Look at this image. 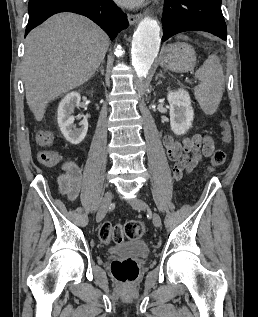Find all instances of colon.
Returning <instances> with one entry per match:
<instances>
[{
  "label": "colon",
  "instance_id": "colon-1",
  "mask_svg": "<svg viewBox=\"0 0 258 317\" xmlns=\"http://www.w3.org/2000/svg\"><path fill=\"white\" fill-rule=\"evenodd\" d=\"M221 140L228 144L232 133L228 121L220 123ZM40 163L46 166H54L61 160V155L56 150L43 149L37 154ZM227 159V154L222 149H216L210 159L209 169L214 170L222 166ZM145 225L140 221H128L125 224H112L104 222L99 228V238L105 244L121 243L124 239L136 240L144 236ZM111 272L120 283H131L139 274V267L132 259H116L111 263Z\"/></svg>",
  "mask_w": 258,
  "mask_h": 317
}]
</instances>
